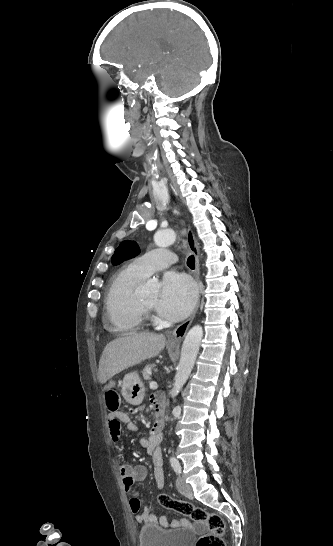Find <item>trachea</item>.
<instances>
[{"instance_id": "obj_1", "label": "trachea", "mask_w": 333, "mask_h": 546, "mask_svg": "<svg viewBox=\"0 0 333 546\" xmlns=\"http://www.w3.org/2000/svg\"><path fill=\"white\" fill-rule=\"evenodd\" d=\"M187 265L190 269H194L195 268V258H194V255H191L188 257L187 259Z\"/></svg>"}]
</instances>
